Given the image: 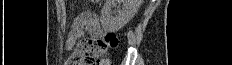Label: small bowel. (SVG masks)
I'll list each match as a JSON object with an SVG mask.
<instances>
[{
  "mask_svg": "<svg viewBox=\"0 0 232 65\" xmlns=\"http://www.w3.org/2000/svg\"><path fill=\"white\" fill-rule=\"evenodd\" d=\"M86 30L94 37L104 35L97 17L92 13H84L74 21L72 30L67 37L66 48L68 51L73 50L77 42L83 38ZM66 65H88L80 56L78 46L66 61Z\"/></svg>",
  "mask_w": 232,
  "mask_h": 65,
  "instance_id": "1",
  "label": "small bowel"
}]
</instances>
